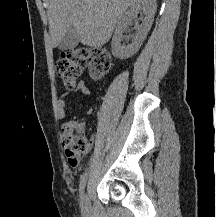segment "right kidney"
Segmentation results:
<instances>
[{
    "label": "right kidney",
    "instance_id": "right-kidney-1",
    "mask_svg": "<svg viewBox=\"0 0 216 217\" xmlns=\"http://www.w3.org/2000/svg\"><path fill=\"white\" fill-rule=\"evenodd\" d=\"M157 4L156 0H138L119 20L112 38V54L116 58L127 59L133 56L140 48L142 42L149 32L154 16L156 13ZM144 14L142 24H138L137 15ZM135 21V35L131 44L127 46L121 45L124 36L123 33L127 31L128 26Z\"/></svg>",
    "mask_w": 216,
    "mask_h": 217
}]
</instances>
